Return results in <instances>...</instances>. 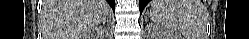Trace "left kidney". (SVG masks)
<instances>
[{
    "label": "left kidney",
    "mask_w": 249,
    "mask_h": 39,
    "mask_svg": "<svg viewBox=\"0 0 249 39\" xmlns=\"http://www.w3.org/2000/svg\"><path fill=\"white\" fill-rule=\"evenodd\" d=\"M156 37L157 39H172V37H170L169 35H167L166 33L162 31L157 32Z\"/></svg>",
    "instance_id": "obj_1"
}]
</instances>
